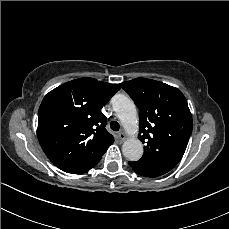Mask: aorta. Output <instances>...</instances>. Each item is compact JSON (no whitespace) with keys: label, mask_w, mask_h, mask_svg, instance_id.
<instances>
[{"label":"aorta","mask_w":229,"mask_h":229,"mask_svg":"<svg viewBox=\"0 0 229 229\" xmlns=\"http://www.w3.org/2000/svg\"><path fill=\"white\" fill-rule=\"evenodd\" d=\"M111 104L127 133L132 135L123 143V155L129 161H138L143 155V145L135 137L138 133L136 106L128 96L123 94L113 96Z\"/></svg>","instance_id":"762f6f07"}]
</instances>
